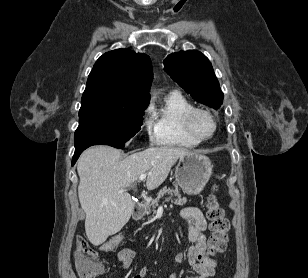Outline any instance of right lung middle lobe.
I'll return each mask as SVG.
<instances>
[{"label":"right lung middle lobe","instance_id":"1","mask_svg":"<svg viewBox=\"0 0 308 278\" xmlns=\"http://www.w3.org/2000/svg\"><path fill=\"white\" fill-rule=\"evenodd\" d=\"M146 107L79 116L74 135L75 148L96 144L123 148L140 130Z\"/></svg>","mask_w":308,"mask_h":278}]
</instances>
